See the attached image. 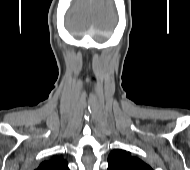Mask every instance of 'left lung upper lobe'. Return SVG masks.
Returning a JSON list of instances; mask_svg holds the SVG:
<instances>
[{
    "mask_svg": "<svg viewBox=\"0 0 190 170\" xmlns=\"http://www.w3.org/2000/svg\"><path fill=\"white\" fill-rule=\"evenodd\" d=\"M108 164V170H153L141 159L121 149H114L109 154Z\"/></svg>",
    "mask_w": 190,
    "mask_h": 170,
    "instance_id": "left-lung-upper-lobe-1",
    "label": "left lung upper lobe"
}]
</instances>
